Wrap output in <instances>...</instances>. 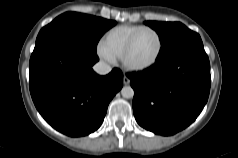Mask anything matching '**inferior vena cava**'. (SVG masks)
Segmentation results:
<instances>
[{
  "label": "inferior vena cava",
  "mask_w": 238,
  "mask_h": 158,
  "mask_svg": "<svg viewBox=\"0 0 238 158\" xmlns=\"http://www.w3.org/2000/svg\"><path fill=\"white\" fill-rule=\"evenodd\" d=\"M93 69L96 73L100 74V75H106L111 71V67L110 65H108L106 62L104 61H99L97 62L94 66Z\"/></svg>",
  "instance_id": "inferior-vena-cava-1"
}]
</instances>
